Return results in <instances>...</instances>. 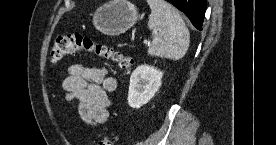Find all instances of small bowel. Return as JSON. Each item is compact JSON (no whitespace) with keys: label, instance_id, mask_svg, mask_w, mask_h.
<instances>
[{"label":"small bowel","instance_id":"1","mask_svg":"<svg viewBox=\"0 0 276 145\" xmlns=\"http://www.w3.org/2000/svg\"><path fill=\"white\" fill-rule=\"evenodd\" d=\"M63 81L67 101L78 102V112L88 125L105 123L109 116V92L117 87L115 78L108 76L104 68L93 65L73 64L68 67Z\"/></svg>","mask_w":276,"mask_h":145}]
</instances>
